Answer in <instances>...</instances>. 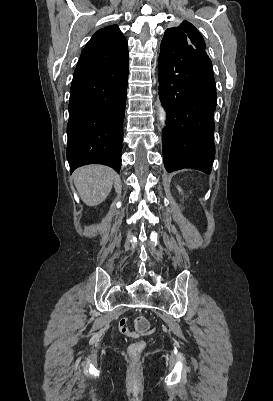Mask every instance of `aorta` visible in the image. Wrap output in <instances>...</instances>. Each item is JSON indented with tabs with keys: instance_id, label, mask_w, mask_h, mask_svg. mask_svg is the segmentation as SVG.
Returning <instances> with one entry per match:
<instances>
[{
	"instance_id": "1",
	"label": "aorta",
	"mask_w": 273,
	"mask_h": 401,
	"mask_svg": "<svg viewBox=\"0 0 273 401\" xmlns=\"http://www.w3.org/2000/svg\"><path fill=\"white\" fill-rule=\"evenodd\" d=\"M158 116H159V121H160L162 127H165L166 126L165 122H166V119H167V113H166L165 109L162 106H159Z\"/></svg>"
}]
</instances>
